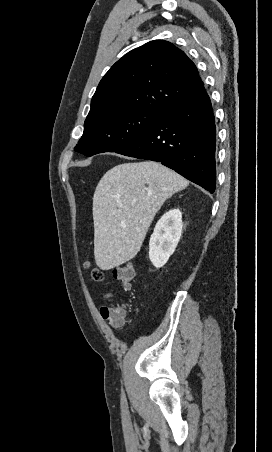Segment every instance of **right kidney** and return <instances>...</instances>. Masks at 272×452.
Instances as JSON below:
<instances>
[{
    "label": "right kidney",
    "mask_w": 272,
    "mask_h": 452,
    "mask_svg": "<svg viewBox=\"0 0 272 452\" xmlns=\"http://www.w3.org/2000/svg\"><path fill=\"white\" fill-rule=\"evenodd\" d=\"M179 209L166 212L157 222L149 241V258L156 268L163 267L174 253L182 233Z\"/></svg>",
    "instance_id": "obj_1"
}]
</instances>
